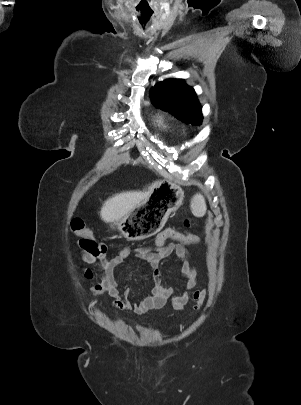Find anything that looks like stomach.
<instances>
[{"mask_svg": "<svg viewBox=\"0 0 301 405\" xmlns=\"http://www.w3.org/2000/svg\"><path fill=\"white\" fill-rule=\"evenodd\" d=\"M182 188L169 181L158 182L149 196L132 209L123 219L112 223L129 241L146 239L157 233L169 215L183 203Z\"/></svg>", "mask_w": 301, "mask_h": 405, "instance_id": "obj_1", "label": "stomach"}]
</instances>
